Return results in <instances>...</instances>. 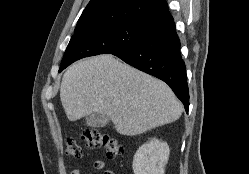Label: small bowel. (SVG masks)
I'll use <instances>...</instances> for the list:
<instances>
[{
	"label": "small bowel",
	"mask_w": 249,
	"mask_h": 174,
	"mask_svg": "<svg viewBox=\"0 0 249 174\" xmlns=\"http://www.w3.org/2000/svg\"><path fill=\"white\" fill-rule=\"evenodd\" d=\"M92 168L94 170H103L105 168V162L103 160H96L92 164ZM71 174H82V170L80 168H74L71 171ZM102 174H115V173L111 170H104Z\"/></svg>",
	"instance_id": "obj_1"
}]
</instances>
